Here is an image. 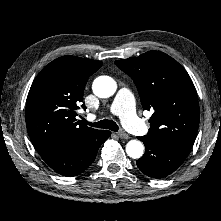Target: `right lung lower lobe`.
<instances>
[{"mask_svg":"<svg viewBox=\"0 0 221 221\" xmlns=\"http://www.w3.org/2000/svg\"><path fill=\"white\" fill-rule=\"evenodd\" d=\"M110 131L99 132L77 140H60L35 146L43 160L55 172L67 176H77L95 160L97 151Z\"/></svg>","mask_w":221,"mask_h":221,"instance_id":"right-lung-lower-lobe-1","label":"right lung lower lobe"}]
</instances>
